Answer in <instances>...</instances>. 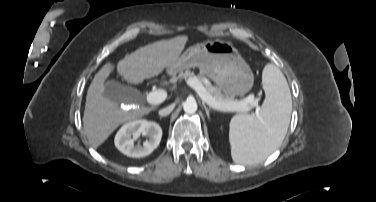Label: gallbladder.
Returning a JSON list of instances; mask_svg holds the SVG:
<instances>
[{"instance_id": "obj_1", "label": "gallbladder", "mask_w": 376, "mask_h": 202, "mask_svg": "<svg viewBox=\"0 0 376 202\" xmlns=\"http://www.w3.org/2000/svg\"><path fill=\"white\" fill-rule=\"evenodd\" d=\"M103 96L116 103L130 104L137 102L139 91L131 86L110 80L105 83Z\"/></svg>"}]
</instances>
